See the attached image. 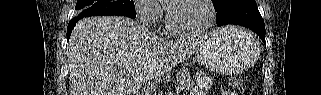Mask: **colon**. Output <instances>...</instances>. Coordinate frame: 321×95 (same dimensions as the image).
<instances>
[{"label": "colon", "mask_w": 321, "mask_h": 95, "mask_svg": "<svg viewBox=\"0 0 321 95\" xmlns=\"http://www.w3.org/2000/svg\"><path fill=\"white\" fill-rule=\"evenodd\" d=\"M243 84V78L241 75H233L229 79V85L233 88H239Z\"/></svg>", "instance_id": "1"}]
</instances>
